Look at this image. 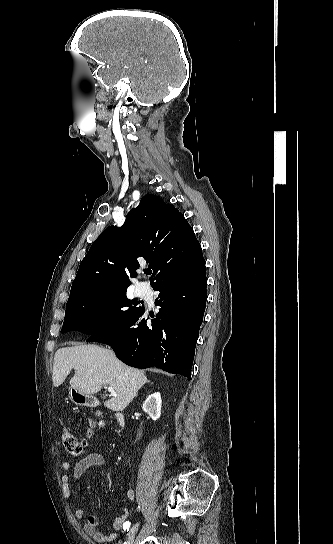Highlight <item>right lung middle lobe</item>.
Here are the masks:
<instances>
[{"label":"right lung middle lobe","instance_id":"right-lung-middle-lobe-1","mask_svg":"<svg viewBox=\"0 0 333 544\" xmlns=\"http://www.w3.org/2000/svg\"><path fill=\"white\" fill-rule=\"evenodd\" d=\"M130 300L126 289L97 292L71 299L66 304L61 333L79 331L98 335L116 329L136 317L144 306Z\"/></svg>","mask_w":333,"mask_h":544}]
</instances>
